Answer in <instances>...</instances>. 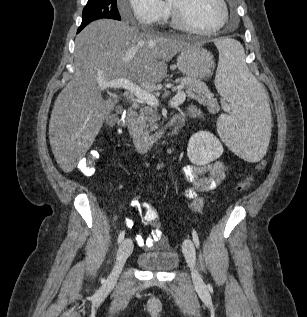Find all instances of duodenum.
I'll list each match as a JSON object with an SVG mask.
<instances>
[{
  "mask_svg": "<svg viewBox=\"0 0 307 317\" xmlns=\"http://www.w3.org/2000/svg\"><path fill=\"white\" fill-rule=\"evenodd\" d=\"M136 117L137 109L135 107H130L126 113L125 118V121H128L129 123L127 131L134 149L137 151H145L154 146L155 144H157L162 136L156 135L152 137H147L139 127ZM185 120V117H179L167 130V134H175L183 126Z\"/></svg>",
  "mask_w": 307,
  "mask_h": 317,
  "instance_id": "duodenum-1",
  "label": "duodenum"
}]
</instances>
